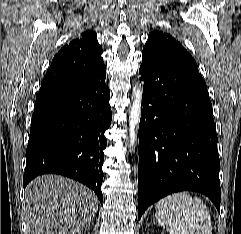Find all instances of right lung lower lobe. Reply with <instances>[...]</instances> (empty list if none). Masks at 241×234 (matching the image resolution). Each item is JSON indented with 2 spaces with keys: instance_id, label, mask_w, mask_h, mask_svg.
<instances>
[{
  "instance_id": "1",
  "label": "right lung lower lobe",
  "mask_w": 241,
  "mask_h": 234,
  "mask_svg": "<svg viewBox=\"0 0 241 234\" xmlns=\"http://www.w3.org/2000/svg\"><path fill=\"white\" fill-rule=\"evenodd\" d=\"M105 72L106 68L81 82L38 93L24 188L38 175L55 173L85 184L102 203L104 132L112 118Z\"/></svg>"
}]
</instances>
